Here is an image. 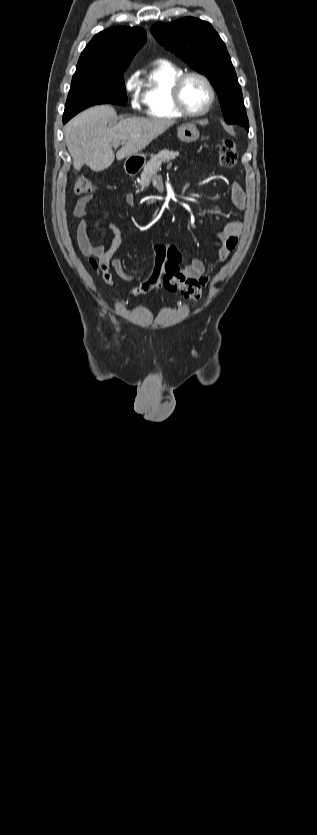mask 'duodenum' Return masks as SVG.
I'll list each match as a JSON object with an SVG mask.
<instances>
[{
	"mask_svg": "<svg viewBox=\"0 0 317 835\" xmlns=\"http://www.w3.org/2000/svg\"><path fill=\"white\" fill-rule=\"evenodd\" d=\"M140 164L134 160H129L126 163V171L129 174H134L139 170Z\"/></svg>",
	"mask_w": 317,
	"mask_h": 835,
	"instance_id": "1",
	"label": "duodenum"
}]
</instances>
